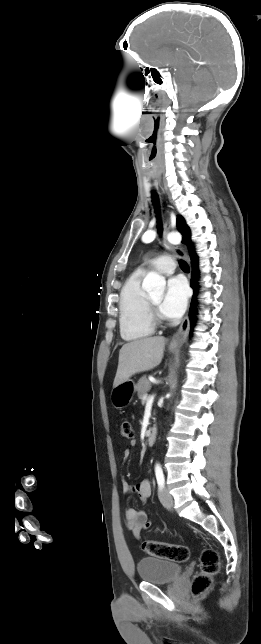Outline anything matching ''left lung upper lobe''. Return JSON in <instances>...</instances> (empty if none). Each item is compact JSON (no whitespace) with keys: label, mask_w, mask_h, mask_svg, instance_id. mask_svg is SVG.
Masks as SVG:
<instances>
[{"label":"left lung upper lobe","mask_w":261,"mask_h":644,"mask_svg":"<svg viewBox=\"0 0 261 644\" xmlns=\"http://www.w3.org/2000/svg\"><path fill=\"white\" fill-rule=\"evenodd\" d=\"M177 228L184 236L183 243L187 244L190 251L191 259L195 258L196 254H195V251L193 250V245L191 244L190 229L186 225L184 218L181 216L177 217Z\"/></svg>","instance_id":"1"}]
</instances>
